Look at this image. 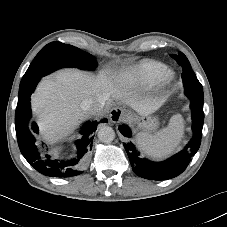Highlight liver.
Instances as JSON below:
<instances>
[{
	"mask_svg": "<svg viewBox=\"0 0 227 227\" xmlns=\"http://www.w3.org/2000/svg\"><path fill=\"white\" fill-rule=\"evenodd\" d=\"M131 83L128 74L97 76L77 69L58 71L53 77L43 79L32 96V109L38 117L41 133L49 140L67 136L85 117L82 102L86 99H104L107 105L111 97L127 98L126 86ZM163 101L126 99V103L140 115H150L160 108Z\"/></svg>",
	"mask_w": 227,
	"mask_h": 227,
	"instance_id": "6515ba94",
	"label": "liver"
}]
</instances>
